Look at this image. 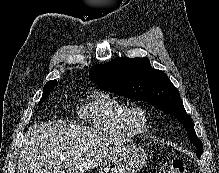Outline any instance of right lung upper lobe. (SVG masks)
Returning <instances> with one entry per match:
<instances>
[{
  "mask_svg": "<svg viewBox=\"0 0 219 173\" xmlns=\"http://www.w3.org/2000/svg\"><path fill=\"white\" fill-rule=\"evenodd\" d=\"M56 83H57L56 80H52V81H49L46 85H48V84H56Z\"/></svg>",
  "mask_w": 219,
  "mask_h": 173,
  "instance_id": "1",
  "label": "right lung upper lobe"
}]
</instances>
